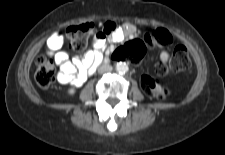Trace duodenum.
Returning a JSON list of instances; mask_svg holds the SVG:
<instances>
[{
  "mask_svg": "<svg viewBox=\"0 0 225 155\" xmlns=\"http://www.w3.org/2000/svg\"><path fill=\"white\" fill-rule=\"evenodd\" d=\"M108 62V59H103V60H100L99 62H98V64H100V63H107ZM97 64V65H98Z\"/></svg>",
  "mask_w": 225,
  "mask_h": 155,
  "instance_id": "1",
  "label": "duodenum"
}]
</instances>
